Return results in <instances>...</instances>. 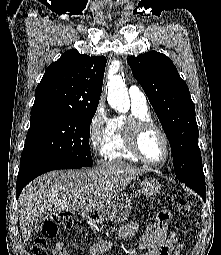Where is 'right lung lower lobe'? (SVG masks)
<instances>
[{
    "label": "right lung lower lobe",
    "instance_id": "98d812e1",
    "mask_svg": "<svg viewBox=\"0 0 221 255\" xmlns=\"http://www.w3.org/2000/svg\"><path fill=\"white\" fill-rule=\"evenodd\" d=\"M84 166L63 164L51 161L27 160L20 164L16 183V197L18 198L22 189L37 176L57 169H78Z\"/></svg>",
    "mask_w": 221,
    "mask_h": 255
}]
</instances>
